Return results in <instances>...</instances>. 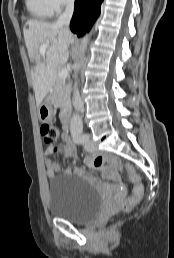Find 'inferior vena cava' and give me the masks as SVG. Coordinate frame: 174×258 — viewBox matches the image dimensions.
<instances>
[{
    "label": "inferior vena cava",
    "instance_id": "obj_1",
    "mask_svg": "<svg viewBox=\"0 0 174 258\" xmlns=\"http://www.w3.org/2000/svg\"><path fill=\"white\" fill-rule=\"evenodd\" d=\"M73 11H74V0H67L65 11L63 12L62 15H60L56 24L58 26L68 27L73 15ZM73 105L77 110H80L83 106L77 89L74 92Z\"/></svg>",
    "mask_w": 174,
    "mask_h": 258
}]
</instances>
